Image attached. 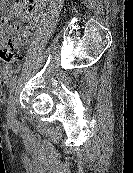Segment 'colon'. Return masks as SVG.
I'll return each mask as SVG.
<instances>
[{
	"mask_svg": "<svg viewBox=\"0 0 133 173\" xmlns=\"http://www.w3.org/2000/svg\"><path fill=\"white\" fill-rule=\"evenodd\" d=\"M23 43V37H15L3 48H0V82H5L14 70L20 59L19 48Z\"/></svg>",
	"mask_w": 133,
	"mask_h": 173,
	"instance_id": "colon-1",
	"label": "colon"
}]
</instances>
